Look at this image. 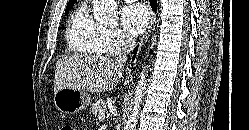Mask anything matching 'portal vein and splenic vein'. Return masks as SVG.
<instances>
[{"label": "portal vein and splenic vein", "mask_w": 249, "mask_h": 130, "mask_svg": "<svg viewBox=\"0 0 249 130\" xmlns=\"http://www.w3.org/2000/svg\"><path fill=\"white\" fill-rule=\"evenodd\" d=\"M105 119V113L104 112H101L99 115H98V120L99 121H103Z\"/></svg>", "instance_id": "obj_1"}]
</instances>
